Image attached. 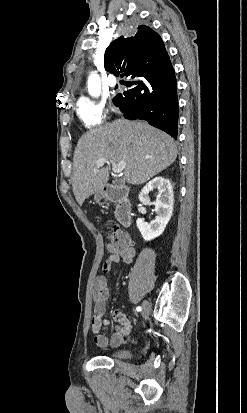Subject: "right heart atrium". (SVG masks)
<instances>
[{"label":"right heart atrium","instance_id":"obj_1","mask_svg":"<svg viewBox=\"0 0 247 413\" xmlns=\"http://www.w3.org/2000/svg\"><path fill=\"white\" fill-rule=\"evenodd\" d=\"M78 118L88 128H93L99 119H106L113 112L111 105H95L93 100H79L77 102ZM98 130V129H96Z\"/></svg>","mask_w":247,"mask_h":413}]
</instances>
